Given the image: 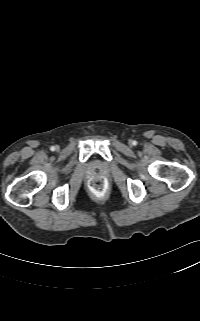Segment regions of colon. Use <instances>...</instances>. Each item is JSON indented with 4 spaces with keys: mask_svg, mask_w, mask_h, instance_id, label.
Segmentation results:
<instances>
[{
    "mask_svg": "<svg viewBox=\"0 0 200 321\" xmlns=\"http://www.w3.org/2000/svg\"><path fill=\"white\" fill-rule=\"evenodd\" d=\"M89 187L93 193L102 195L106 190V181L103 177H95L90 181Z\"/></svg>",
    "mask_w": 200,
    "mask_h": 321,
    "instance_id": "1",
    "label": "colon"
}]
</instances>
